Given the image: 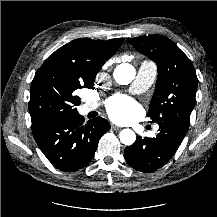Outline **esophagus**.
<instances>
[{"label":"esophagus","mask_w":217,"mask_h":217,"mask_svg":"<svg viewBox=\"0 0 217 217\" xmlns=\"http://www.w3.org/2000/svg\"><path fill=\"white\" fill-rule=\"evenodd\" d=\"M111 129L118 131V130H120L121 128L118 127V126H116V125H114V124H112V125H111Z\"/></svg>","instance_id":"34e87169"}]
</instances>
